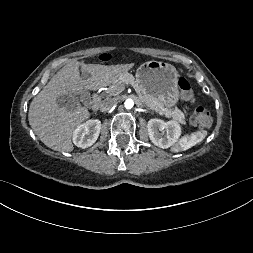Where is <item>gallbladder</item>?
<instances>
[{"label": "gallbladder", "instance_id": "obj_1", "mask_svg": "<svg viewBox=\"0 0 253 253\" xmlns=\"http://www.w3.org/2000/svg\"><path fill=\"white\" fill-rule=\"evenodd\" d=\"M80 99L83 103L87 104L90 101V96L87 91L84 90L83 93L80 94ZM79 97L73 94L60 95L57 98V103L61 107H65L67 109H74L77 105V101Z\"/></svg>", "mask_w": 253, "mask_h": 253}]
</instances>
